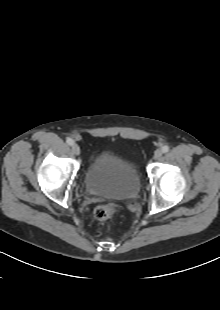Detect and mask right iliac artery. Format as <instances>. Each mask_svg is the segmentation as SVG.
I'll return each instance as SVG.
<instances>
[{
	"instance_id": "1",
	"label": "right iliac artery",
	"mask_w": 220,
	"mask_h": 310,
	"mask_svg": "<svg viewBox=\"0 0 220 310\" xmlns=\"http://www.w3.org/2000/svg\"><path fill=\"white\" fill-rule=\"evenodd\" d=\"M66 142H67V144L70 145V146H72V145L74 144V140L71 139V138H67V139H66Z\"/></svg>"
}]
</instances>
